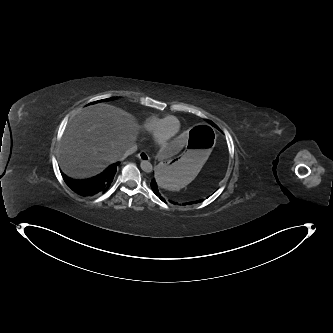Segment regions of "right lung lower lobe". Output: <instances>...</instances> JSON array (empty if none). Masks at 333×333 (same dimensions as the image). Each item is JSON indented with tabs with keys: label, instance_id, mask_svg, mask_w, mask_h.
Listing matches in <instances>:
<instances>
[{
	"label": "right lung lower lobe",
	"instance_id": "obj_1",
	"mask_svg": "<svg viewBox=\"0 0 333 333\" xmlns=\"http://www.w3.org/2000/svg\"><path fill=\"white\" fill-rule=\"evenodd\" d=\"M117 165H119V162L112 164L101 174L85 180H74L66 175H62L66 184L75 193L81 196H93L103 194L109 189L116 174Z\"/></svg>",
	"mask_w": 333,
	"mask_h": 333
}]
</instances>
